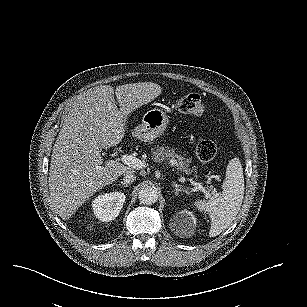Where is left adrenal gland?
<instances>
[{
  "instance_id": "a2214340",
  "label": "left adrenal gland",
  "mask_w": 307,
  "mask_h": 307,
  "mask_svg": "<svg viewBox=\"0 0 307 307\" xmlns=\"http://www.w3.org/2000/svg\"><path fill=\"white\" fill-rule=\"evenodd\" d=\"M172 186H174L175 187V189H174V193L175 194H177V193H179V192H188V189H186V188H184L182 185H180V184H178V183H175V182H173L172 183Z\"/></svg>"
}]
</instances>
